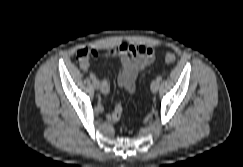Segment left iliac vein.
I'll list each match as a JSON object with an SVG mask.
<instances>
[{
	"instance_id": "4c4485c4",
	"label": "left iliac vein",
	"mask_w": 243,
	"mask_h": 167,
	"mask_svg": "<svg viewBox=\"0 0 243 167\" xmlns=\"http://www.w3.org/2000/svg\"><path fill=\"white\" fill-rule=\"evenodd\" d=\"M159 86H160V83H159L157 80L153 81V82L151 83V85H150L151 91H152L153 93L157 92L158 89H159Z\"/></svg>"
}]
</instances>
